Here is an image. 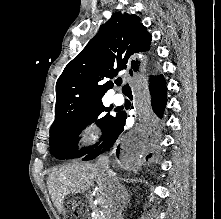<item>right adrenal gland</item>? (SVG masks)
I'll return each mask as SVG.
<instances>
[{"instance_id": "1", "label": "right adrenal gland", "mask_w": 221, "mask_h": 219, "mask_svg": "<svg viewBox=\"0 0 221 219\" xmlns=\"http://www.w3.org/2000/svg\"><path fill=\"white\" fill-rule=\"evenodd\" d=\"M123 191L125 192V195H126V203H129L130 202L129 198H130L131 192L130 191L128 192L126 189H124Z\"/></svg>"}]
</instances>
